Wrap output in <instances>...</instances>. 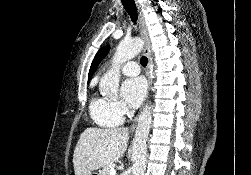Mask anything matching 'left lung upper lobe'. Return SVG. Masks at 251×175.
<instances>
[{"label":"left lung upper lobe","instance_id":"1","mask_svg":"<svg viewBox=\"0 0 251 175\" xmlns=\"http://www.w3.org/2000/svg\"><path fill=\"white\" fill-rule=\"evenodd\" d=\"M110 47L106 46V47H102L98 53L96 54V56L94 57V60L91 64L90 70H89V75H88V81L91 79L92 75L94 74V72L96 71L99 63L102 61V59L107 55V53L109 52Z\"/></svg>","mask_w":251,"mask_h":175}]
</instances>
